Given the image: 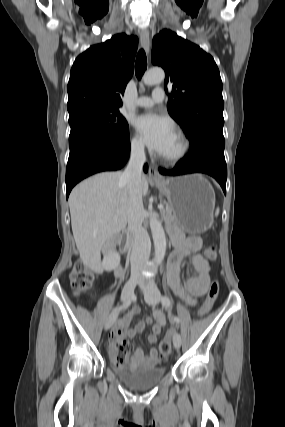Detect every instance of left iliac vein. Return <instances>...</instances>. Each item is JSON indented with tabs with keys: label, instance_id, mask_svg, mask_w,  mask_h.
Segmentation results:
<instances>
[{
	"label": "left iliac vein",
	"instance_id": "left-iliac-vein-1",
	"mask_svg": "<svg viewBox=\"0 0 285 427\" xmlns=\"http://www.w3.org/2000/svg\"><path fill=\"white\" fill-rule=\"evenodd\" d=\"M140 286L144 289V297L145 301L149 305H156L160 301V291L157 288L156 284L153 281L149 282H140ZM181 336L179 333H176L173 337V344L176 349L181 347Z\"/></svg>",
	"mask_w": 285,
	"mask_h": 427
}]
</instances>
